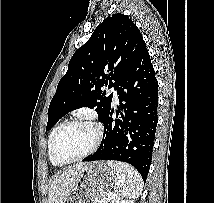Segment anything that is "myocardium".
I'll list each match as a JSON object with an SVG mask.
<instances>
[{
  "label": "myocardium",
  "mask_w": 214,
  "mask_h": 203,
  "mask_svg": "<svg viewBox=\"0 0 214 203\" xmlns=\"http://www.w3.org/2000/svg\"><path fill=\"white\" fill-rule=\"evenodd\" d=\"M75 124H88L90 126H92L95 130V140L92 144V146L89 148V150H87L85 153H83L82 155L71 159V160H67V161H63L60 160L57 157V143L58 140L61 136V134L70 126L75 125ZM103 138V131H102V127L99 123H97L94 120L91 119H84V118H75L72 120H69L67 122H65L56 132L54 139H53V143H52V148H51V153H52V157L53 159L60 165H67V164H72L78 161H81L85 158H87L88 156H90L91 154H93L97 148L99 147V145L101 144Z\"/></svg>",
  "instance_id": "obj_1"
}]
</instances>
